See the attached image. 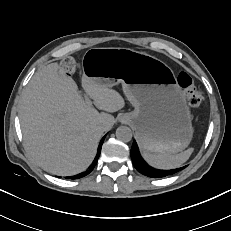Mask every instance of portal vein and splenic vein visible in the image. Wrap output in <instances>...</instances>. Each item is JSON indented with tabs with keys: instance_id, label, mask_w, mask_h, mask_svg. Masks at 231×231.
I'll return each instance as SVG.
<instances>
[{
	"instance_id": "obj_1",
	"label": "portal vein and splenic vein",
	"mask_w": 231,
	"mask_h": 231,
	"mask_svg": "<svg viewBox=\"0 0 231 231\" xmlns=\"http://www.w3.org/2000/svg\"><path fill=\"white\" fill-rule=\"evenodd\" d=\"M85 102L87 105L91 106L92 105V101L87 97L85 96Z\"/></svg>"
}]
</instances>
